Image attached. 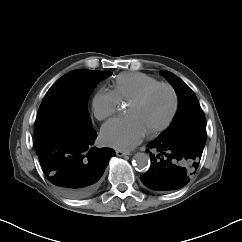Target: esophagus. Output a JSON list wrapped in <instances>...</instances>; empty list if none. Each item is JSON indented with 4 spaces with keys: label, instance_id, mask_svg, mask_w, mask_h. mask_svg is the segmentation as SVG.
I'll list each match as a JSON object with an SVG mask.
<instances>
[{
    "label": "esophagus",
    "instance_id": "1",
    "mask_svg": "<svg viewBox=\"0 0 242 242\" xmlns=\"http://www.w3.org/2000/svg\"><path fill=\"white\" fill-rule=\"evenodd\" d=\"M116 155L119 156V157L127 156V155H130V152L122 151V150H116Z\"/></svg>",
    "mask_w": 242,
    "mask_h": 242
}]
</instances>
